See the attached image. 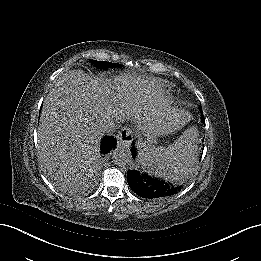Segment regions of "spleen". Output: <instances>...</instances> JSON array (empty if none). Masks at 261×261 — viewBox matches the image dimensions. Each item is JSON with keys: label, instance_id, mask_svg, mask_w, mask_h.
<instances>
[{"label": "spleen", "instance_id": "1", "mask_svg": "<svg viewBox=\"0 0 261 261\" xmlns=\"http://www.w3.org/2000/svg\"><path fill=\"white\" fill-rule=\"evenodd\" d=\"M197 136V129L191 127L173 144L149 148L146 154L141 155V162L159 177L179 182L197 160Z\"/></svg>", "mask_w": 261, "mask_h": 261}]
</instances>
